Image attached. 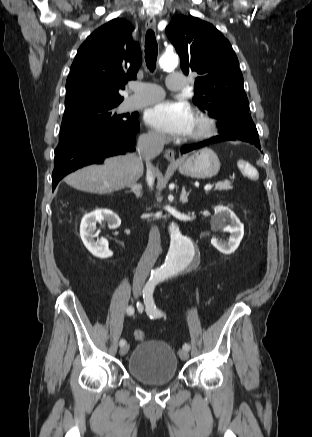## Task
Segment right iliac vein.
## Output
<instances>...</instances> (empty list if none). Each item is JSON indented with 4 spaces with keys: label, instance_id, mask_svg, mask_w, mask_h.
Instances as JSON below:
<instances>
[{
    "label": "right iliac vein",
    "instance_id": "right-iliac-vein-1",
    "mask_svg": "<svg viewBox=\"0 0 312 437\" xmlns=\"http://www.w3.org/2000/svg\"><path fill=\"white\" fill-rule=\"evenodd\" d=\"M142 290V282L141 279L139 277H136V281H135V287H134V292L135 295H139L141 293ZM129 350V345L128 344H124L123 346H121L119 353L121 356L125 355Z\"/></svg>",
    "mask_w": 312,
    "mask_h": 437
}]
</instances>
